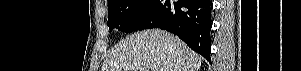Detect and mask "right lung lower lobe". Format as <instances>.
I'll list each match as a JSON object with an SVG mask.
<instances>
[{
    "label": "right lung lower lobe",
    "instance_id": "obj_1",
    "mask_svg": "<svg viewBox=\"0 0 301 71\" xmlns=\"http://www.w3.org/2000/svg\"><path fill=\"white\" fill-rule=\"evenodd\" d=\"M212 7L210 0H157L142 30L161 28L172 32L211 62Z\"/></svg>",
    "mask_w": 301,
    "mask_h": 71
}]
</instances>
